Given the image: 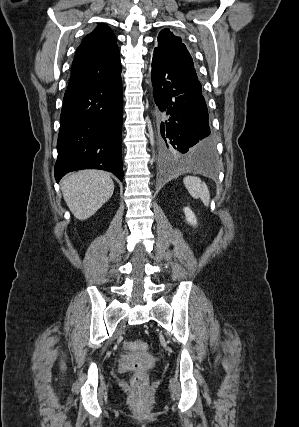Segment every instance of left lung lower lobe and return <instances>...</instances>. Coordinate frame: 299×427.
<instances>
[{
	"instance_id": "0a47b994",
	"label": "left lung lower lobe",
	"mask_w": 299,
	"mask_h": 427,
	"mask_svg": "<svg viewBox=\"0 0 299 427\" xmlns=\"http://www.w3.org/2000/svg\"><path fill=\"white\" fill-rule=\"evenodd\" d=\"M160 112L159 153L166 162L181 160L197 170L216 169L215 144L202 86L185 44L154 49L151 72Z\"/></svg>"
}]
</instances>
